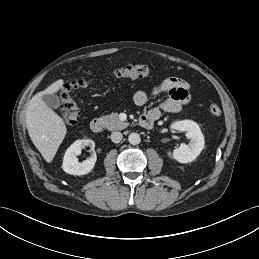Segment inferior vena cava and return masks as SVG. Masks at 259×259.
Listing matches in <instances>:
<instances>
[{"label":"inferior vena cava","instance_id":"inferior-vena-cava-1","mask_svg":"<svg viewBox=\"0 0 259 259\" xmlns=\"http://www.w3.org/2000/svg\"><path fill=\"white\" fill-rule=\"evenodd\" d=\"M122 138H123V135L121 132L116 131L111 134V140L114 143H119L122 140Z\"/></svg>","mask_w":259,"mask_h":259}]
</instances>
